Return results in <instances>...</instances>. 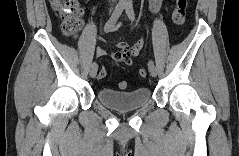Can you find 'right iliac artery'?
<instances>
[{
    "label": "right iliac artery",
    "mask_w": 239,
    "mask_h": 156,
    "mask_svg": "<svg viewBox=\"0 0 239 156\" xmlns=\"http://www.w3.org/2000/svg\"><path fill=\"white\" fill-rule=\"evenodd\" d=\"M125 8V3L123 2H119L112 14V16L109 18V20L107 21V23L105 24V27H104V31L106 33L110 32L112 30V28L114 27V25L116 24L117 20L119 19V17L121 16L123 10ZM97 63L96 62H93L91 64V66H96Z\"/></svg>",
    "instance_id": "1"
}]
</instances>
